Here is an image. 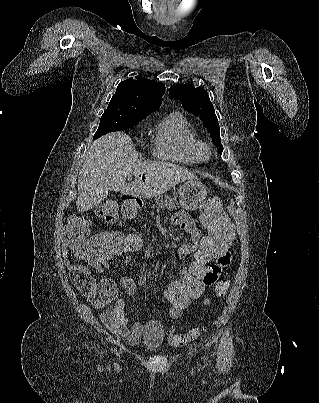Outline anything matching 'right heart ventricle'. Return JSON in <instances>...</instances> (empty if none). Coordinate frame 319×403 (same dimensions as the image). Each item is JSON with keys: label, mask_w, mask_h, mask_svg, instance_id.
<instances>
[{"label": "right heart ventricle", "mask_w": 319, "mask_h": 403, "mask_svg": "<svg viewBox=\"0 0 319 403\" xmlns=\"http://www.w3.org/2000/svg\"><path fill=\"white\" fill-rule=\"evenodd\" d=\"M196 132L180 112H172L155 125L152 133V153L160 159L183 164H196L200 161Z\"/></svg>", "instance_id": "e07e8e85"}]
</instances>
